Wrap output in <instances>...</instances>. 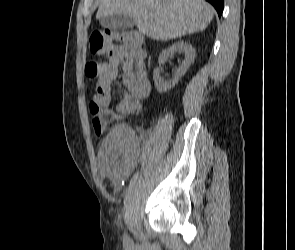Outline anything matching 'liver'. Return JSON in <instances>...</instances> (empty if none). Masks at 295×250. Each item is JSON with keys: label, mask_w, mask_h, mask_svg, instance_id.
<instances>
[{"label": "liver", "mask_w": 295, "mask_h": 250, "mask_svg": "<svg viewBox=\"0 0 295 250\" xmlns=\"http://www.w3.org/2000/svg\"><path fill=\"white\" fill-rule=\"evenodd\" d=\"M116 14L131 16L147 37L167 41L205 30L214 10L204 0H100L96 18Z\"/></svg>", "instance_id": "1"}]
</instances>
